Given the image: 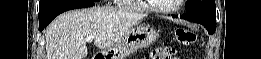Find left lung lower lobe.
I'll return each mask as SVG.
<instances>
[{
  "label": "left lung lower lobe",
  "mask_w": 261,
  "mask_h": 59,
  "mask_svg": "<svg viewBox=\"0 0 261 59\" xmlns=\"http://www.w3.org/2000/svg\"><path fill=\"white\" fill-rule=\"evenodd\" d=\"M180 18L202 24L208 30L209 34H213L216 30V16L188 12L180 16Z\"/></svg>",
  "instance_id": "1"
}]
</instances>
